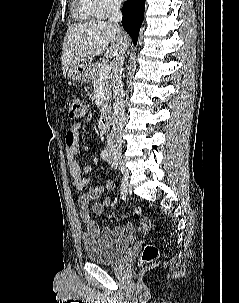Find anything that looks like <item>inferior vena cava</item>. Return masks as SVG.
Listing matches in <instances>:
<instances>
[{
  "label": "inferior vena cava",
  "instance_id": "602c4592",
  "mask_svg": "<svg viewBox=\"0 0 239 303\" xmlns=\"http://www.w3.org/2000/svg\"><path fill=\"white\" fill-rule=\"evenodd\" d=\"M122 20L120 11V1L115 0L112 4L111 16L108 20L119 33L122 32L119 23ZM124 52L119 51L116 54V61L113 68L112 86H113V112H112V130L108 139V147L112 150H121L122 131L126 120L125 103L122 92V70L124 65Z\"/></svg>",
  "mask_w": 239,
  "mask_h": 303
}]
</instances>
